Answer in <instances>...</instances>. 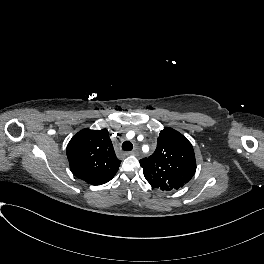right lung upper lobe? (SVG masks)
Here are the masks:
<instances>
[{
    "instance_id": "obj_1",
    "label": "right lung upper lobe",
    "mask_w": 264,
    "mask_h": 264,
    "mask_svg": "<svg viewBox=\"0 0 264 264\" xmlns=\"http://www.w3.org/2000/svg\"><path fill=\"white\" fill-rule=\"evenodd\" d=\"M67 158L72 173L91 185L110 181L119 169L107 129H83L67 146Z\"/></svg>"
}]
</instances>
